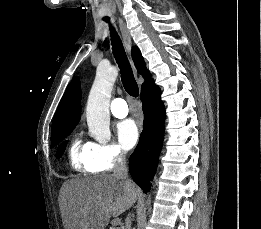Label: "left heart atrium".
<instances>
[{
  "instance_id": "obj_1",
  "label": "left heart atrium",
  "mask_w": 261,
  "mask_h": 229,
  "mask_svg": "<svg viewBox=\"0 0 261 229\" xmlns=\"http://www.w3.org/2000/svg\"><path fill=\"white\" fill-rule=\"evenodd\" d=\"M117 137L119 143L125 150L132 149L139 140L137 124L131 119L120 122L117 125Z\"/></svg>"
}]
</instances>
